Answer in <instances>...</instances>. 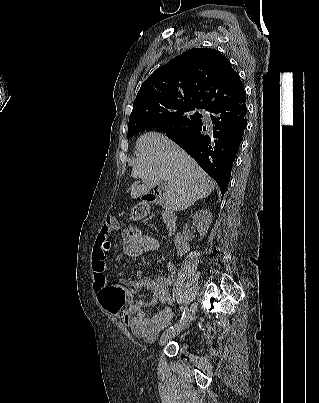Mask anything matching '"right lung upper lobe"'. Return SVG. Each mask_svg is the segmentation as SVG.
Returning a JSON list of instances; mask_svg holds the SVG:
<instances>
[{"label":"right lung upper lobe","mask_w":319,"mask_h":403,"mask_svg":"<svg viewBox=\"0 0 319 403\" xmlns=\"http://www.w3.org/2000/svg\"><path fill=\"white\" fill-rule=\"evenodd\" d=\"M245 100L239 75L227 58L214 49L193 48L143 82L130 118L154 105L186 104L209 111Z\"/></svg>","instance_id":"cb5924a9"}]
</instances>
